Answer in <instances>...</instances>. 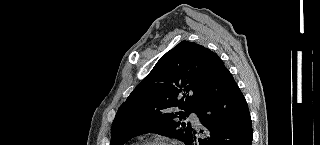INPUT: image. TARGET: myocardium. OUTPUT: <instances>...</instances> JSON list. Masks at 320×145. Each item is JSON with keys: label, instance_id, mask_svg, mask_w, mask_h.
I'll return each mask as SVG.
<instances>
[{"label": "myocardium", "instance_id": "f54148a6", "mask_svg": "<svg viewBox=\"0 0 320 145\" xmlns=\"http://www.w3.org/2000/svg\"><path fill=\"white\" fill-rule=\"evenodd\" d=\"M140 145H172L169 142L161 141V140H152V141H146Z\"/></svg>", "mask_w": 320, "mask_h": 145}]
</instances>
